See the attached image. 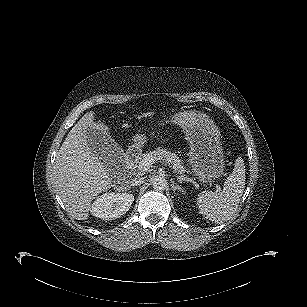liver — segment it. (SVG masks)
Masks as SVG:
<instances>
[{
	"label": "liver",
	"instance_id": "6515ba94",
	"mask_svg": "<svg viewBox=\"0 0 307 307\" xmlns=\"http://www.w3.org/2000/svg\"><path fill=\"white\" fill-rule=\"evenodd\" d=\"M92 130L110 134L105 124L94 121V112L86 113L68 133L53 167L57 193L77 220L88 219L92 200L112 184L110 169L87 144V133Z\"/></svg>",
	"mask_w": 307,
	"mask_h": 307
}]
</instances>
